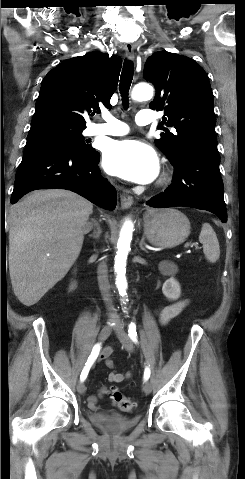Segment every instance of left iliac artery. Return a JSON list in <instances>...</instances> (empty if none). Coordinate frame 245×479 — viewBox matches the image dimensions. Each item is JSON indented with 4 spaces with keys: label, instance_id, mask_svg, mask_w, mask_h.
Wrapping results in <instances>:
<instances>
[{
    "label": "left iliac artery",
    "instance_id": "44dca946",
    "mask_svg": "<svg viewBox=\"0 0 245 479\" xmlns=\"http://www.w3.org/2000/svg\"><path fill=\"white\" fill-rule=\"evenodd\" d=\"M128 335L129 337L131 338V340L134 342V343H137L138 340H137V332H136V325L135 323L131 322L130 325H129V328H128ZM150 377V369L148 367L145 368V371H144V380L147 381Z\"/></svg>",
    "mask_w": 245,
    "mask_h": 479
}]
</instances>
